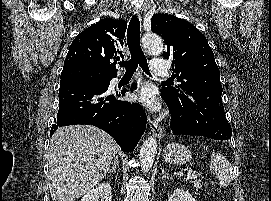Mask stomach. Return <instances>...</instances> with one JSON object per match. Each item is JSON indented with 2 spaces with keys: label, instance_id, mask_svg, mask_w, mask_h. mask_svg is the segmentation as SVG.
I'll list each match as a JSON object with an SVG mask.
<instances>
[{
  "label": "stomach",
  "instance_id": "1",
  "mask_svg": "<svg viewBox=\"0 0 271 201\" xmlns=\"http://www.w3.org/2000/svg\"><path fill=\"white\" fill-rule=\"evenodd\" d=\"M164 160L170 164L183 165L192 158L188 147L179 143H171L166 146L163 152Z\"/></svg>",
  "mask_w": 271,
  "mask_h": 201
}]
</instances>
